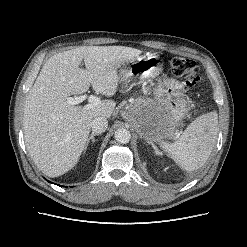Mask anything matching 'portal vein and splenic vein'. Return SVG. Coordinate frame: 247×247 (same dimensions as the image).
<instances>
[{"instance_id":"18ae733b","label":"portal vein and splenic vein","mask_w":247,"mask_h":247,"mask_svg":"<svg viewBox=\"0 0 247 247\" xmlns=\"http://www.w3.org/2000/svg\"><path fill=\"white\" fill-rule=\"evenodd\" d=\"M88 99L89 101V105L88 106H96L100 103V99L94 95H82V96H78V97H69L67 98V104L69 105H77L81 102H83L84 100Z\"/></svg>"}]
</instances>
